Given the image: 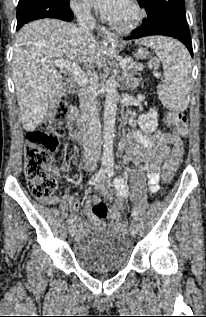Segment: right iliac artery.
<instances>
[{"instance_id":"1","label":"right iliac artery","mask_w":206,"mask_h":317,"mask_svg":"<svg viewBox=\"0 0 206 317\" xmlns=\"http://www.w3.org/2000/svg\"><path fill=\"white\" fill-rule=\"evenodd\" d=\"M107 173V168L101 167L97 173H95L88 181L89 185H93L99 181H101ZM69 224H73V219L70 218L68 220Z\"/></svg>"}]
</instances>
